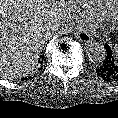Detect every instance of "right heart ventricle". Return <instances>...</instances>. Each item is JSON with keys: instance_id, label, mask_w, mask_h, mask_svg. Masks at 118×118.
Segmentation results:
<instances>
[{"instance_id": "1", "label": "right heart ventricle", "mask_w": 118, "mask_h": 118, "mask_svg": "<svg viewBox=\"0 0 118 118\" xmlns=\"http://www.w3.org/2000/svg\"><path fill=\"white\" fill-rule=\"evenodd\" d=\"M83 14L94 19H116L118 0H83Z\"/></svg>"}]
</instances>
